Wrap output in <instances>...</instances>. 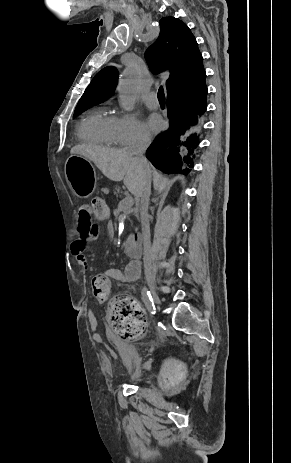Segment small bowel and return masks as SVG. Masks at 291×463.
<instances>
[{
	"instance_id": "small-bowel-1",
	"label": "small bowel",
	"mask_w": 291,
	"mask_h": 463,
	"mask_svg": "<svg viewBox=\"0 0 291 463\" xmlns=\"http://www.w3.org/2000/svg\"><path fill=\"white\" fill-rule=\"evenodd\" d=\"M94 208L84 205L81 206L78 213V226L77 236L71 243V253L76 260L84 267H87V260L85 251L88 244L98 237V226L92 222V213ZM108 232L110 237H115V229L109 225ZM105 275L116 281L134 282L140 276V263L139 261L130 262L124 270L117 268H110L105 271ZM90 327L93 332H97L98 327L95 321L90 322Z\"/></svg>"
}]
</instances>
